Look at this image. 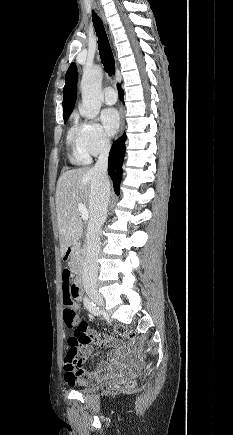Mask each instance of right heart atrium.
Masks as SVG:
<instances>
[{"label": "right heart atrium", "instance_id": "obj_1", "mask_svg": "<svg viewBox=\"0 0 233 435\" xmlns=\"http://www.w3.org/2000/svg\"><path fill=\"white\" fill-rule=\"evenodd\" d=\"M85 129V149L91 156H101L110 147V139L105 134L99 123L87 121L84 123Z\"/></svg>", "mask_w": 233, "mask_h": 435}]
</instances>
